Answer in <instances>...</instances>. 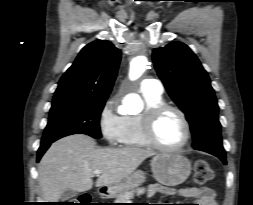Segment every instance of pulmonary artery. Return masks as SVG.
Segmentation results:
<instances>
[{
  "label": "pulmonary artery",
  "mask_w": 253,
  "mask_h": 205,
  "mask_svg": "<svg viewBox=\"0 0 253 205\" xmlns=\"http://www.w3.org/2000/svg\"><path fill=\"white\" fill-rule=\"evenodd\" d=\"M140 91L154 95H162L164 88L161 81L155 78H146L140 83Z\"/></svg>",
  "instance_id": "1"
}]
</instances>
